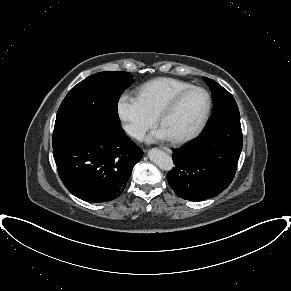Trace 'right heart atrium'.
<instances>
[{
    "mask_svg": "<svg viewBox=\"0 0 291 291\" xmlns=\"http://www.w3.org/2000/svg\"><path fill=\"white\" fill-rule=\"evenodd\" d=\"M117 112L124 130L137 140L156 124V117L148 112L140 99L128 93L120 95Z\"/></svg>",
    "mask_w": 291,
    "mask_h": 291,
    "instance_id": "right-heart-atrium-1",
    "label": "right heart atrium"
}]
</instances>
